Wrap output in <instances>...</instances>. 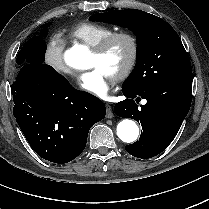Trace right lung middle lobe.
<instances>
[{"label":"right lung middle lobe","instance_id":"dd1d6c3e","mask_svg":"<svg viewBox=\"0 0 209 209\" xmlns=\"http://www.w3.org/2000/svg\"><path fill=\"white\" fill-rule=\"evenodd\" d=\"M50 23L46 24L42 29V33L40 36H35L29 39L26 44L19 51L18 56L16 58V62L20 64L24 63H43L45 60V52H46V43L43 40V37L47 35L46 27H48Z\"/></svg>","mask_w":209,"mask_h":209}]
</instances>
